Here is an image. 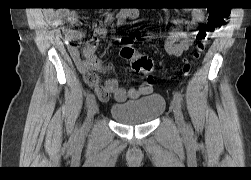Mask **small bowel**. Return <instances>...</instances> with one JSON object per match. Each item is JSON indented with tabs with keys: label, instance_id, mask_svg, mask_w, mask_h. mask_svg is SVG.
I'll use <instances>...</instances> for the list:
<instances>
[{
	"label": "small bowel",
	"instance_id": "small-bowel-1",
	"mask_svg": "<svg viewBox=\"0 0 251 180\" xmlns=\"http://www.w3.org/2000/svg\"><path fill=\"white\" fill-rule=\"evenodd\" d=\"M138 15L139 12L136 8L128 7L122 9L116 16L117 23L122 24L126 20H134ZM52 19L54 24L61 28L67 43L68 51L79 71L83 74L86 83L94 90L101 101H108L110 97H113L117 102H124L127 99H138L152 93V85L148 82L142 83L137 88L128 90L122 88L116 78H108L104 83H101L99 73L110 70L109 66L102 64L96 57L98 44L107 34V29L105 27L99 26L96 29L94 36L84 45L83 56H81L79 48L83 39V34L74 28L79 22L80 16L73 11L58 10L52 13ZM203 20V11L201 9H194L190 20H175L174 23L176 25L185 24L189 29L200 24ZM66 21L71 27L64 25ZM191 44L192 40L187 30L172 29L166 36L164 49L170 56L181 57L189 49Z\"/></svg>",
	"mask_w": 251,
	"mask_h": 180
}]
</instances>
